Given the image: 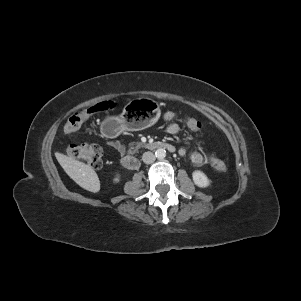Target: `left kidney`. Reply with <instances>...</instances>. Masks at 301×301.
<instances>
[{
    "label": "left kidney",
    "mask_w": 301,
    "mask_h": 301,
    "mask_svg": "<svg viewBox=\"0 0 301 301\" xmlns=\"http://www.w3.org/2000/svg\"><path fill=\"white\" fill-rule=\"evenodd\" d=\"M192 179L196 186L200 188H206L209 186L210 182L208 177L202 171H194L192 173Z\"/></svg>",
    "instance_id": "5707ae66"
}]
</instances>
